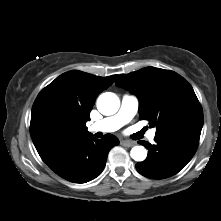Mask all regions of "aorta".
<instances>
[{
    "instance_id": "aorta-1",
    "label": "aorta",
    "mask_w": 221,
    "mask_h": 221,
    "mask_svg": "<svg viewBox=\"0 0 221 221\" xmlns=\"http://www.w3.org/2000/svg\"><path fill=\"white\" fill-rule=\"evenodd\" d=\"M119 106V98L114 93L106 92L98 97L97 108L103 115L115 114L118 111ZM130 156L135 161H144L147 157V150L143 146H134L131 149Z\"/></svg>"
}]
</instances>
